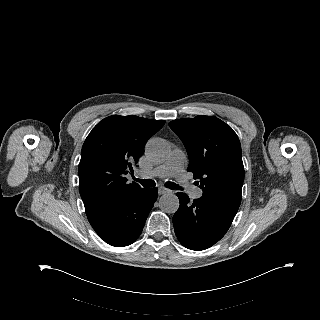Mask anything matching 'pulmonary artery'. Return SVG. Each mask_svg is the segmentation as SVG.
I'll return each instance as SVG.
<instances>
[{"instance_id": "pulmonary-artery-1", "label": "pulmonary artery", "mask_w": 320, "mask_h": 320, "mask_svg": "<svg viewBox=\"0 0 320 320\" xmlns=\"http://www.w3.org/2000/svg\"><path fill=\"white\" fill-rule=\"evenodd\" d=\"M185 163V153L180 149H174L163 164L157 166L150 172L141 173L140 176L143 178H167L172 176L179 182L188 184L184 173ZM190 192L193 198H200L203 194L202 189L198 187H192Z\"/></svg>"}]
</instances>
